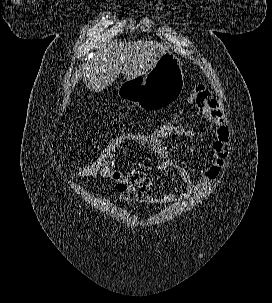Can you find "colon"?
<instances>
[{
    "label": "colon",
    "mask_w": 272,
    "mask_h": 303,
    "mask_svg": "<svg viewBox=\"0 0 272 303\" xmlns=\"http://www.w3.org/2000/svg\"><path fill=\"white\" fill-rule=\"evenodd\" d=\"M184 127L180 117L175 115L162 120L152 129L117 135L109 140L95 157L74 167L72 174L78 180L102 177V175L111 173L116 169L115 160L125 150L142 145L163 143ZM151 183V177L146 173L143 174L140 185L126 198L133 202L147 199L151 192Z\"/></svg>",
    "instance_id": "5ec220e1"
}]
</instances>
